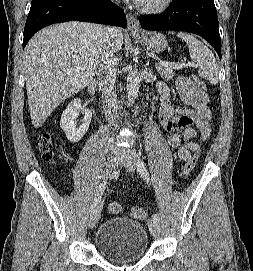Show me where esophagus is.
<instances>
[{
	"mask_svg": "<svg viewBox=\"0 0 253 271\" xmlns=\"http://www.w3.org/2000/svg\"><path fill=\"white\" fill-rule=\"evenodd\" d=\"M127 29L133 34L141 33V27L134 15L131 13L127 14Z\"/></svg>",
	"mask_w": 253,
	"mask_h": 271,
	"instance_id": "obj_1",
	"label": "esophagus"
}]
</instances>
